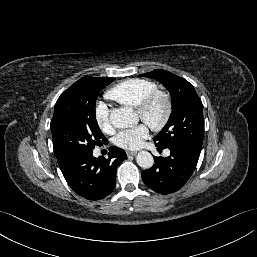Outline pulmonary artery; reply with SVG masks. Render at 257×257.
<instances>
[{"label": "pulmonary artery", "instance_id": "1", "mask_svg": "<svg viewBox=\"0 0 257 257\" xmlns=\"http://www.w3.org/2000/svg\"><path fill=\"white\" fill-rule=\"evenodd\" d=\"M165 154L168 155V154H169V151H166Z\"/></svg>", "mask_w": 257, "mask_h": 257}]
</instances>
